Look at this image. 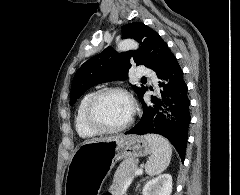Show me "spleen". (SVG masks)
I'll use <instances>...</instances> for the list:
<instances>
[{
	"instance_id": "spleen-1",
	"label": "spleen",
	"mask_w": 240,
	"mask_h": 195,
	"mask_svg": "<svg viewBox=\"0 0 240 195\" xmlns=\"http://www.w3.org/2000/svg\"><path fill=\"white\" fill-rule=\"evenodd\" d=\"M145 137L151 145V155L145 163V171L148 175H159L171 161L172 145L159 133H146Z\"/></svg>"
}]
</instances>
